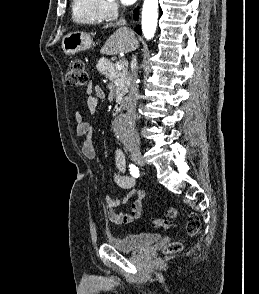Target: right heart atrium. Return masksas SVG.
Segmentation results:
<instances>
[{
	"label": "right heart atrium",
	"mask_w": 259,
	"mask_h": 294,
	"mask_svg": "<svg viewBox=\"0 0 259 294\" xmlns=\"http://www.w3.org/2000/svg\"><path fill=\"white\" fill-rule=\"evenodd\" d=\"M102 8L106 19H114L119 13V5L115 0H102Z\"/></svg>",
	"instance_id": "1"
}]
</instances>
